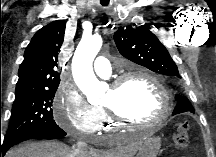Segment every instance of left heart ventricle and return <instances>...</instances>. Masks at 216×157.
Returning a JSON list of instances; mask_svg holds the SVG:
<instances>
[{
    "label": "left heart ventricle",
    "mask_w": 216,
    "mask_h": 157,
    "mask_svg": "<svg viewBox=\"0 0 216 157\" xmlns=\"http://www.w3.org/2000/svg\"><path fill=\"white\" fill-rule=\"evenodd\" d=\"M103 104L115 107L130 119L150 121L158 116L162 99L150 81L134 77L127 80L116 93L109 89Z\"/></svg>",
    "instance_id": "1"
}]
</instances>
